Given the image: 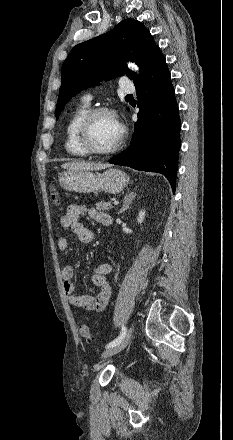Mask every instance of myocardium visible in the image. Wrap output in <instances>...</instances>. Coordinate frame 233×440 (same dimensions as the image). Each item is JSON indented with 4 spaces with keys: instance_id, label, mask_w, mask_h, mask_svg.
<instances>
[{
    "instance_id": "f54148a6",
    "label": "myocardium",
    "mask_w": 233,
    "mask_h": 440,
    "mask_svg": "<svg viewBox=\"0 0 233 440\" xmlns=\"http://www.w3.org/2000/svg\"><path fill=\"white\" fill-rule=\"evenodd\" d=\"M107 114L112 116L120 127V136L114 146L106 150L95 148L89 141V129L92 121L99 115ZM126 131L124 126L119 122L116 112L107 107H97L88 110V112L81 119L77 128V142L79 146L90 155L107 156L118 152L125 142Z\"/></svg>"
}]
</instances>
